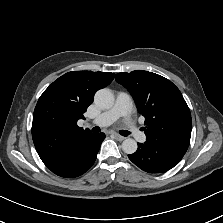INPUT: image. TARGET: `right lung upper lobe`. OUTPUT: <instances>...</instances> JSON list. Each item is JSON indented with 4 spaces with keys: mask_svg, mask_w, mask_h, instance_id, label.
I'll return each mask as SVG.
<instances>
[{
    "mask_svg": "<svg viewBox=\"0 0 223 223\" xmlns=\"http://www.w3.org/2000/svg\"><path fill=\"white\" fill-rule=\"evenodd\" d=\"M114 73L76 71L55 80L40 96L33 114L35 148L50 169L71 159L80 143L92 133L78 127L94 94L109 85Z\"/></svg>",
    "mask_w": 223,
    "mask_h": 223,
    "instance_id": "1",
    "label": "right lung upper lobe"
}]
</instances>
